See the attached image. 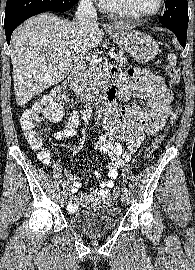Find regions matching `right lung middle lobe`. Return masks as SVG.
I'll return each mask as SVG.
<instances>
[{"mask_svg":"<svg viewBox=\"0 0 195 270\" xmlns=\"http://www.w3.org/2000/svg\"><path fill=\"white\" fill-rule=\"evenodd\" d=\"M72 0H61V4L57 6L58 12H66L73 7Z\"/></svg>","mask_w":195,"mask_h":270,"instance_id":"right-lung-middle-lobe-1","label":"right lung middle lobe"}]
</instances>
